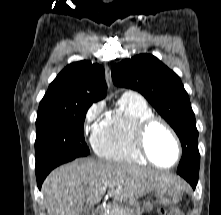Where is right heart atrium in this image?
<instances>
[{
	"label": "right heart atrium",
	"instance_id": "d8ad5b80",
	"mask_svg": "<svg viewBox=\"0 0 221 215\" xmlns=\"http://www.w3.org/2000/svg\"><path fill=\"white\" fill-rule=\"evenodd\" d=\"M102 110H103L102 103H95L87 110L84 119V127L86 130L90 128H95L96 122L99 119Z\"/></svg>",
	"mask_w": 221,
	"mask_h": 215
}]
</instances>
